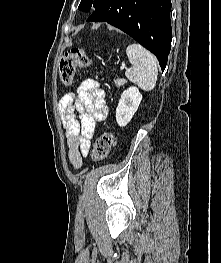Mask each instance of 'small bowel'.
<instances>
[{
  "instance_id": "c3829d8e",
  "label": "small bowel",
  "mask_w": 221,
  "mask_h": 263,
  "mask_svg": "<svg viewBox=\"0 0 221 263\" xmlns=\"http://www.w3.org/2000/svg\"><path fill=\"white\" fill-rule=\"evenodd\" d=\"M70 166L77 170L88 155L95 126L107 116L105 92L98 82L84 80L75 93L63 95L58 104Z\"/></svg>"
}]
</instances>
